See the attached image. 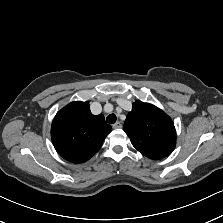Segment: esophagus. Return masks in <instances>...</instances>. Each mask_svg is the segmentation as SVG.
I'll list each match as a JSON object with an SVG mask.
<instances>
[{
  "label": "esophagus",
  "instance_id": "obj_1",
  "mask_svg": "<svg viewBox=\"0 0 223 223\" xmlns=\"http://www.w3.org/2000/svg\"><path fill=\"white\" fill-rule=\"evenodd\" d=\"M114 129H119L122 127V124L120 122H116L115 124H113L112 126Z\"/></svg>",
  "mask_w": 223,
  "mask_h": 223
}]
</instances>
